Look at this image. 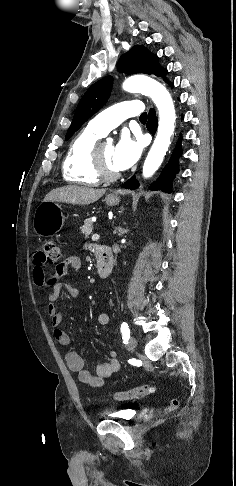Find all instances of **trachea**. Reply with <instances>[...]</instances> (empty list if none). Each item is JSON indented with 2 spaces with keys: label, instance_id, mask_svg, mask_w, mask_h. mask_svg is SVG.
<instances>
[{
  "label": "trachea",
  "instance_id": "trachea-1",
  "mask_svg": "<svg viewBox=\"0 0 236 486\" xmlns=\"http://www.w3.org/2000/svg\"><path fill=\"white\" fill-rule=\"evenodd\" d=\"M140 120H147V113L146 112H144L143 114H141Z\"/></svg>",
  "mask_w": 236,
  "mask_h": 486
}]
</instances>
